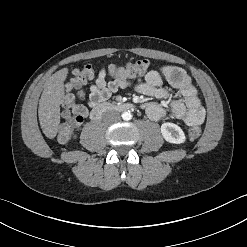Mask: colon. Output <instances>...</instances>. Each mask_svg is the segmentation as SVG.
Segmentation results:
<instances>
[{"mask_svg": "<svg viewBox=\"0 0 247 247\" xmlns=\"http://www.w3.org/2000/svg\"><path fill=\"white\" fill-rule=\"evenodd\" d=\"M149 68L147 60H135L128 62L124 66H109L107 69L108 74L113 78L130 79L137 76L144 75ZM96 69L91 65H86L82 69L74 70L72 82L76 88L82 87L89 79L93 78ZM83 121L81 116H73L67 119L59 127L58 138L61 142L65 143L69 140L73 128L76 124ZM201 135V128L199 126H192L188 129V136L191 139H197Z\"/></svg>", "mask_w": 247, "mask_h": 247, "instance_id": "obj_1", "label": "colon"}]
</instances>
